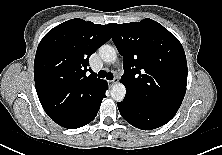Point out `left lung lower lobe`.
Instances as JSON below:
<instances>
[{"label": "left lung lower lobe", "instance_id": "1", "mask_svg": "<svg viewBox=\"0 0 222 155\" xmlns=\"http://www.w3.org/2000/svg\"><path fill=\"white\" fill-rule=\"evenodd\" d=\"M121 116L131 125L143 130H151L168 123L176 112L148 105L125 96L117 103Z\"/></svg>", "mask_w": 222, "mask_h": 155}]
</instances>
